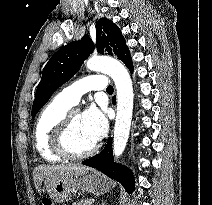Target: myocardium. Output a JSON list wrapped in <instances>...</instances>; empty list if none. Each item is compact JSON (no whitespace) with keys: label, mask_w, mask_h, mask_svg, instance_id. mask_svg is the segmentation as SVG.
Masks as SVG:
<instances>
[{"label":"myocardium","mask_w":212,"mask_h":205,"mask_svg":"<svg viewBox=\"0 0 212 205\" xmlns=\"http://www.w3.org/2000/svg\"><path fill=\"white\" fill-rule=\"evenodd\" d=\"M75 111L67 112L61 121L55 127L51 143L52 148L59 156L65 159L77 160L91 156L98 149V143L95 142L89 149L82 152H74L68 145V134L71 125V119Z\"/></svg>","instance_id":"1"}]
</instances>
